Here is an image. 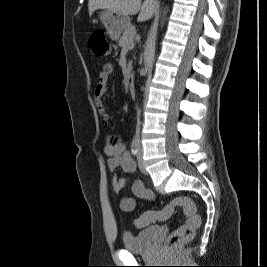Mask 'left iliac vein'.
<instances>
[{
    "instance_id": "4c4485c4",
    "label": "left iliac vein",
    "mask_w": 267,
    "mask_h": 267,
    "mask_svg": "<svg viewBox=\"0 0 267 267\" xmlns=\"http://www.w3.org/2000/svg\"><path fill=\"white\" fill-rule=\"evenodd\" d=\"M137 160H138V166H139L140 171L142 173H144V174H147V171H146V168H145V165H144V162H143V158H142V150H141L140 147H139V150H138Z\"/></svg>"
}]
</instances>
